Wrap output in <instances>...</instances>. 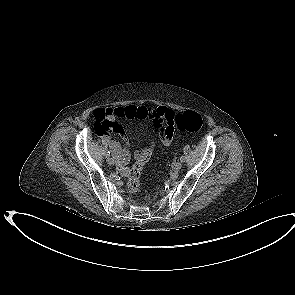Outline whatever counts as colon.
Listing matches in <instances>:
<instances>
[{"mask_svg":"<svg viewBox=\"0 0 295 295\" xmlns=\"http://www.w3.org/2000/svg\"><path fill=\"white\" fill-rule=\"evenodd\" d=\"M203 124V118L195 111H186L182 114L169 112L163 128L168 131L178 129L181 131L197 132L201 130ZM152 151V145H146L145 149H138L136 151V162L129 170L127 179L128 190L133 194L138 193L140 190V176L151 157Z\"/></svg>","mask_w":295,"mask_h":295,"instance_id":"obj_1","label":"colon"}]
</instances>
